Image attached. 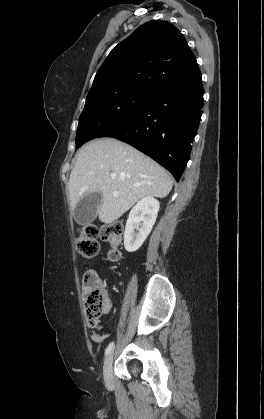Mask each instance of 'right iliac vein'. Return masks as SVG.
I'll list each match as a JSON object with an SVG mask.
<instances>
[{"mask_svg": "<svg viewBox=\"0 0 264 419\" xmlns=\"http://www.w3.org/2000/svg\"><path fill=\"white\" fill-rule=\"evenodd\" d=\"M112 363H113V352H110L105 359L104 362V379L106 384L111 385L113 383V370H112Z\"/></svg>", "mask_w": 264, "mask_h": 419, "instance_id": "right-iliac-vein-1", "label": "right iliac vein"}]
</instances>
